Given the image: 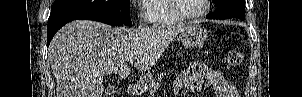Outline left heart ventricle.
Wrapping results in <instances>:
<instances>
[{"mask_svg":"<svg viewBox=\"0 0 302 97\" xmlns=\"http://www.w3.org/2000/svg\"><path fill=\"white\" fill-rule=\"evenodd\" d=\"M177 5L182 13L192 15L201 11L203 0H178Z\"/></svg>","mask_w":302,"mask_h":97,"instance_id":"b2bd125f","label":"left heart ventricle"}]
</instances>
